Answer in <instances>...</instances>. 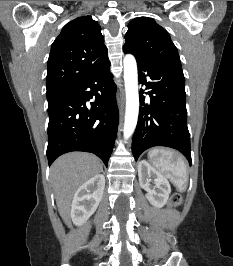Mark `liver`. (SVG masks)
I'll return each mask as SVG.
<instances>
[{"label":"liver","instance_id":"obj_1","mask_svg":"<svg viewBox=\"0 0 233 266\" xmlns=\"http://www.w3.org/2000/svg\"><path fill=\"white\" fill-rule=\"evenodd\" d=\"M102 170L95 155L83 152L67 153L52 164L50 179L59 214L66 225L70 226V208L76 190Z\"/></svg>","mask_w":233,"mask_h":266}]
</instances>
